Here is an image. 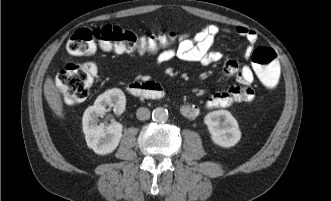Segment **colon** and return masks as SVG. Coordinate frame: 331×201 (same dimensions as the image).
I'll list each match as a JSON object with an SVG mask.
<instances>
[{"mask_svg": "<svg viewBox=\"0 0 331 201\" xmlns=\"http://www.w3.org/2000/svg\"><path fill=\"white\" fill-rule=\"evenodd\" d=\"M175 40L176 34L171 31L138 36L119 26L103 25L77 30L67 43V51L76 56L91 54L97 48L118 53H155L169 47ZM251 60L261 83L269 89H275L281 74L276 52L271 48L260 47L253 51ZM96 76L97 69L92 63H70L59 72L56 84L64 100L74 104L88 96Z\"/></svg>", "mask_w": 331, "mask_h": 201, "instance_id": "obj_1", "label": "colon"}]
</instances>
